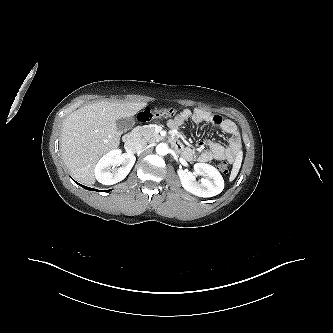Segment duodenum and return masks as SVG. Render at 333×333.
<instances>
[{"instance_id": "duodenum-1", "label": "duodenum", "mask_w": 333, "mask_h": 333, "mask_svg": "<svg viewBox=\"0 0 333 333\" xmlns=\"http://www.w3.org/2000/svg\"><path fill=\"white\" fill-rule=\"evenodd\" d=\"M137 139L138 132L136 130H133L124 136L125 146L128 151H131L135 148ZM170 141L175 147H179L181 144L180 141L174 138H171Z\"/></svg>"}]
</instances>
